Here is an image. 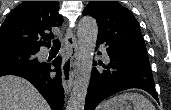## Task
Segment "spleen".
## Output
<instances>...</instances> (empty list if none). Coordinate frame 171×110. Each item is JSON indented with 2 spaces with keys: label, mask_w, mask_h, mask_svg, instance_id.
<instances>
[{
  "label": "spleen",
  "mask_w": 171,
  "mask_h": 110,
  "mask_svg": "<svg viewBox=\"0 0 171 110\" xmlns=\"http://www.w3.org/2000/svg\"><path fill=\"white\" fill-rule=\"evenodd\" d=\"M132 101L134 110H156L152 102L136 92H126L103 102L98 110H115V105L122 101Z\"/></svg>",
  "instance_id": "spleen-1"
}]
</instances>
